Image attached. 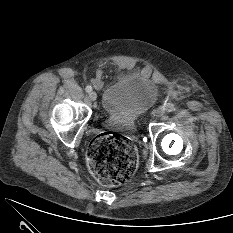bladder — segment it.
Listing matches in <instances>:
<instances>
[{"mask_svg": "<svg viewBox=\"0 0 233 233\" xmlns=\"http://www.w3.org/2000/svg\"><path fill=\"white\" fill-rule=\"evenodd\" d=\"M159 88L149 77L126 72L104 87L100 104L108 117L132 124L156 102Z\"/></svg>", "mask_w": 233, "mask_h": 233, "instance_id": "obj_1", "label": "bladder"}]
</instances>
